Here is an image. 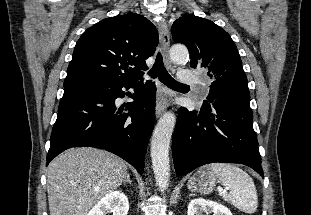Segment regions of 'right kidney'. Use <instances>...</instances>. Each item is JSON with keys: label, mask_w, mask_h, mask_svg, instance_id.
I'll return each instance as SVG.
<instances>
[{"label": "right kidney", "mask_w": 311, "mask_h": 215, "mask_svg": "<svg viewBox=\"0 0 311 215\" xmlns=\"http://www.w3.org/2000/svg\"><path fill=\"white\" fill-rule=\"evenodd\" d=\"M128 210L127 196L121 191H111L102 197L87 215H105L106 212H112L113 215H127Z\"/></svg>", "instance_id": "1"}]
</instances>
